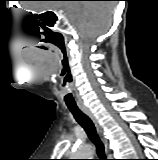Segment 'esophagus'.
Segmentation results:
<instances>
[{
  "mask_svg": "<svg viewBox=\"0 0 158 160\" xmlns=\"http://www.w3.org/2000/svg\"><path fill=\"white\" fill-rule=\"evenodd\" d=\"M79 108L83 113H85L92 120V122H93V124H94V126L96 128V131H97V133H98V135H99V137L101 139V141L105 145L106 152H108L109 149H108L107 140L105 139V137L103 135V130H102L101 126L98 124L94 114L87 107H85L83 105H79Z\"/></svg>",
  "mask_w": 158,
  "mask_h": 160,
  "instance_id": "obj_1",
  "label": "esophagus"
}]
</instances>
